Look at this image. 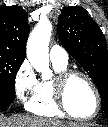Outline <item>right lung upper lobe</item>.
I'll use <instances>...</instances> for the list:
<instances>
[{"label": "right lung upper lobe", "mask_w": 108, "mask_h": 127, "mask_svg": "<svg viewBox=\"0 0 108 127\" xmlns=\"http://www.w3.org/2000/svg\"><path fill=\"white\" fill-rule=\"evenodd\" d=\"M27 13L17 5L0 6V53L25 59Z\"/></svg>", "instance_id": "cb5924a9"}]
</instances>
